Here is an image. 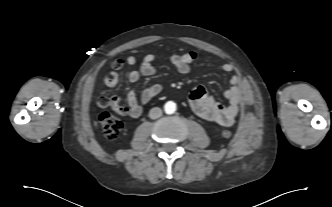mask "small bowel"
<instances>
[{"mask_svg":"<svg viewBox=\"0 0 332 207\" xmlns=\"http://www.w3.org/2000/svg\"><path fill=\"white\" fill-rule=\"evenodd\" d=\"M158 59L157 54H147L142 61L140 71L132 70L128 73L127 79L131 83L139 80L140 75L153 76L156 73V68L153 62ZM197 60V53L194 51L185 52L180 55H172L169 57V62L176 68V70L186 75L191 70V65ZM133 65L135 59L133 57L127 58L124 64ZM115 69V68H114ZM221 69L226 74H231L229 79L230 87L226 90L225 95L228 99V105L224 106L217 103L203 86H197L191 90L189 94V102L194 112L201 118L219 124L221 126H231L234 124L236 116L239 112V107L242 102V94L240 91V78L235 73V68L230 63H224ZM119 75L112 71L105 75L104 84L107 87H115L118 83ZM162 90L161 85L155 84L145 88L141 95L140 101L133 89H128L126 92L127 107L124 114L138 118L142 114V105L147 104L154 97H156Z\"/></svg>","mask_w":332,"mask_h":207,"instance_id":"c3829d8e","label":"small bowel"}]
</instances>
